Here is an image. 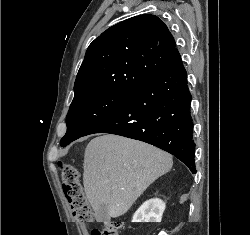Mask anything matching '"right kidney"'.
<instances>
[{"label":"right kidney","instance_id":"ca27d5eb","mask_svg":"<svg viewBox=\"0 0 250 235\" xmlns=\"http://www.w3.org/2000/svg\"><path fill=\"white\" fill-rule=\"evenodd\" d=\"M165 202L154 198L144 202L133 216V222H161Z\"/></svg>","mask_w":250,"mask_h":235}]
</instances>
